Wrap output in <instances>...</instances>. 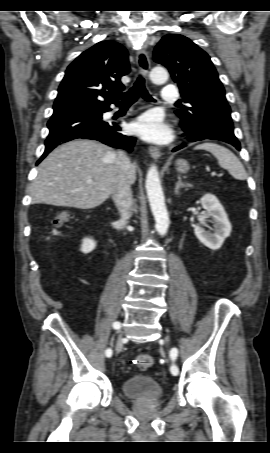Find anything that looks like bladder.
I'll return each instance as SVG.
<instances>
[{"label": "bladder", "mask_w": 270, "mask_h": 453, "mask_svg": "<svg viewBox=\"0 0 270 453\" xmlns=\"http://www.w3.org/2000/svg\"><path fill=\"white\" fill-rule=\"evenodd\" d=\"M124 395L132 399L157 400L163 396V387L149 375L136 374L122 383Z\"/></svg>", "instance_id": "bladder-1"}]
</instances>
